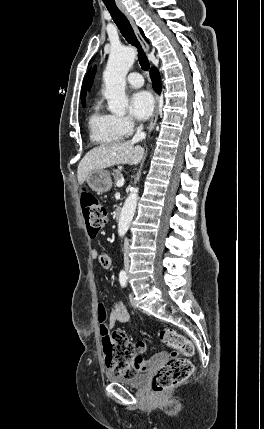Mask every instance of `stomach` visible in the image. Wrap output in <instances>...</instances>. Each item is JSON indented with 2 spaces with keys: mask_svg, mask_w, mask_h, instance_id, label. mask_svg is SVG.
<instances>
[{
  "mask_svg": "<svg viewBox=\"0 0 264 429\" xmlns=\"http://www.w3.org/2000/svg\"><path fill=\"white\" fill-rule=\"evenodd\" d=\"M86 182L97 194L108 192L112 187L110 173L105 169L93 170L87 177Z\"/></svg>",
  "mask_w": 264,
  "mask_h": 429,
  "instance_id": "1",
  "label": "stomach"
}]
</instances>
